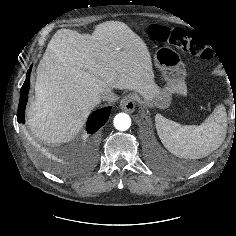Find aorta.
Wrapping results in <instances>:
<instances>
[{"label":"aorta","mask_w":236,"mask_h":236,"mask_svg":"<svg viewBox=\"0 0 236 236\" xmlns=\"http://www.w3.org/2000/svg\"><path fill=\"white\" fill-rule=\"evenodd\" d=\"M114 127L119 131H125L131 126V118L126 113H118L113 120Z\"/></svg>","instance_id":"762f6f07"}]
</instances>
